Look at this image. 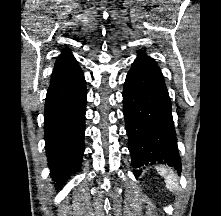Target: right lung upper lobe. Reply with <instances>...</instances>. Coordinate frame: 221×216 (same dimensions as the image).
I'll use <instances>...</instances> for the list:
<instances>
[{"mask_svg":"<svg viewBox=\"0 0 221 216\" xmlns=\"http://www.w3.org/2000/svg\"><path fill=\"white\" fill-rule=\"evenodd\" d=\"M80 70L77 60L68 50H63L57 57L54 70L51 75V81H55L61 77L70 75Z\"/></svg>","mask_w":221,"mask_h":216,"instance_id":"right-lung-upper-lobe-1","label":"right lung upper lobe"}]
</instances>
